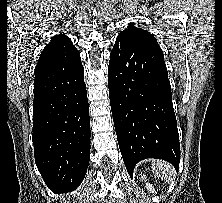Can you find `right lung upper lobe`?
Returning <instances> with one entry per match:
<instances>
[{"mask_svg": "<svg viewBox=\"0 0 222 203\" xmlns=\"http://www.w3.org/2000/svg\"><path fill=\"white\" fill-rule=\"evenodd\" d=\"M80 61L79 51L65 35H55L45 46L36 67Z\"/></svg>", "mask_w": 222, "mask_h": 203, "instance_id": "obj_1", "label": "right lung upper lobe"}]
</instances>
